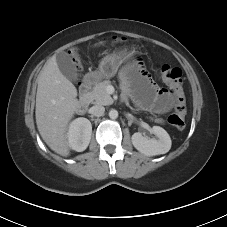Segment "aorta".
<instances>
[{
  "mask_svg": "<svg viewBox=\"0 0 227 227\" xmlns=\"http://www.w3.org/2000/svg\"><path fill=\"white\" fill-rule=\"evenodd\" d=\"M109 117H110L111 119H116V118L118 117V111L115 110V109L110 110V112H109Z\"/></svg>",
  "mask_w": 227,
  "mask_h": 227,
  "instance_id": "762f6f07",
  "label": "aorta"
}]
</instances>
